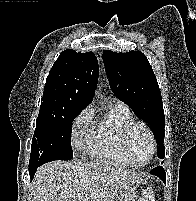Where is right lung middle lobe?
<instances>
[{"label":"right lung middle lobe","mask_w":196,"mask_h":201,"mask_svg":"<svg viewBox=\"0 0 196 201\" xmlns=\"http://www.w3.org/2000/svg\"><path fill=\"white\" fill-rule=\"evenodd\" d=\"M82 109L60 113H39L32 139L29 168L53 160H71V124Z\"/></svg>","instance_id":"dd1d6c3e"}]
</instances>
